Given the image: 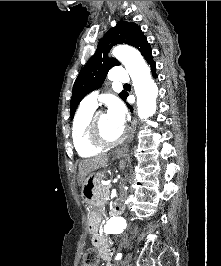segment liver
<instances>
[{"instance_id":"1","label":"liver","mask_w":221,"mask_h":266,"mask_svg":"<svg viewBox=\"0 0 221 266\" xmlns=\"http://www.w3.org/2000/svg\"><path fill=\"white\" fill-rule=\"evenodd\" d=\"M109 162V156L102 154L95 156L93 158L84 159L79 163V171H78V185H82L84 179L91 172L96 171L101 167H106ZM123 161L120 162V168H123Z\"/></svg>"}]
</instances>
